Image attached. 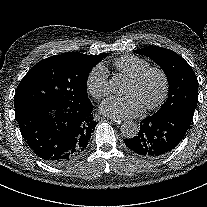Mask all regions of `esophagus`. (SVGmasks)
<instances>
[{
	"label": "esophagus",
	"instance_id": "obj_1",
	"mask_svg": "<svg viewBox=\"0 0 207 207\" xmlns=\"http://www.w3.org/2000/svg\"><path fill=\"white\" fill-rule=\"evenodd\" d=\"M109 119L111 121H114L117 126H122L124 124V119L122 117H117V118L110 117Z\"/></svg>",
	"mask_w": 207,
	"mask_h": 207
}]
</instances>
